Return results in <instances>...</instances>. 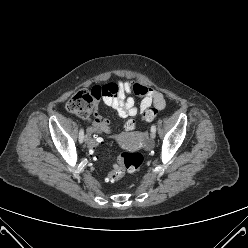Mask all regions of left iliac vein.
Instances as JSON below:
<instances>
[{
	"mask_svg": "<svg viewBox=\"0 0 248 248\" xmlns=\"http://www.w3.org/2000/svg\"><path fill=\"white\" fill-rule=\"evenodd\" d=\"M150 137H151V139L153 140V139L155 138V132H151V133H150Z\"/></svg>",
	"mask_w": 248,
	"mask_h": 248,
	"instance_id": "4c4485c4",
	"label": "left iliac vein"
}]
</instances>
